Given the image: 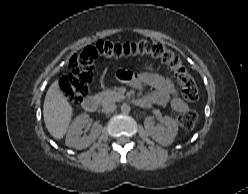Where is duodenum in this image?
Wrapping results in <instances>:
<instances>
[{"label":"duodenum","mask_w":248,"mask_h":194,"mask_svg":"<svg viewBox=\"0 0 248 194\" xmlns=\"http://www.w3.org/2000/svg\"><path fill=\"white\" fill-rule=\"evenodd\" d=\"M137 103L142 105L140 100ZM82 106L88 112H95L98 107V98L96 96H88L84 99Z\"/></svg>","instance_id":"1"}]
</instances>
